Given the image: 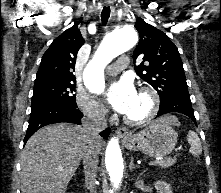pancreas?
Listing matches in <instances>:
<instances>
[{"instance_id": "cf45deb5", "label": "pancreas", "mask_w": 221, "mask_h": 193, "mask_svg": "<svg viewBox=\"0 0 221 193\" xmlns=\"http://www.w3.org/2000/svg\"><path fill=\"white\" fill-rule=\"evenodd\" d=\"M175 163H176V158H167L165 160H161V161L155 163L154 165H158L161 168H168Z\"/></svg>"}]
</instances>
